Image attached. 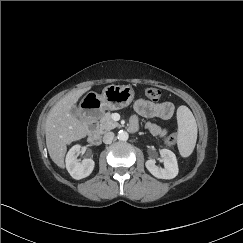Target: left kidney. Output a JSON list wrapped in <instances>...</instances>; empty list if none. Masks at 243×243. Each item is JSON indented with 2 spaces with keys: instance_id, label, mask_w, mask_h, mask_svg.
<instances>
[{
  "instance_id": "obj_1",
  "label": "left kidney",
  "mask_w": 243,
  "mask_h": 243,
  "mask_svg": "<svg viewBox=\"0 0 243 243\" xmlns=\"http://www.w3.org/2000/svg\"><path fill=\"white\" fill-rule=\"evenodd\" d=\"M160 155L164 159V168L156 166L153 159L147 160L145 163L148 171L160 179H173L178 175V164L175 154L168 149H161Z\"/></svg>"
}]
</instances>
